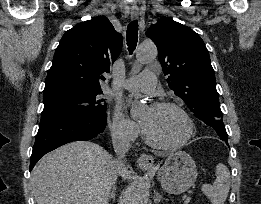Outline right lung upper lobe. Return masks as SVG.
Segmentation results:
<instances>
[{
	"label": "right lung upper lobe",
	"mask_w": 261,
	"mask_h": 204,
	"mask_svg": "<svg viewBox=\"0 0 261 204\" xmlns=\"http://www.w3.org/2000/svg\"><path fill=\"white\" fill-rule=\"evenodd\" d=\"M123 37L105 16L76 24L62 37L46 77L43 93L101 90L103 73L122 49Z\"/></svg>",
	"instance_id": "cb5924a9"
}]
</instances>
